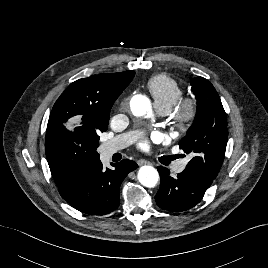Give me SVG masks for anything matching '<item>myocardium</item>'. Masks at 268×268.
<instances>
[{
    "instance_id": "f54148a6",
    "label": "myocardium",
    "mask_w": 268,
    "mask_h": 268,
    "mask_svg": "<svg viewBox=\"0 0 268 268\" xmlns=\"http://www.w3.org/2000/svg\"><path fill=\"white\" fill-rule=\"evenodd\" d=\"M198 115V103L193 97L181 98L170 110L173 125L182 131H187Z\"/></svg>"
}]
</instances>
